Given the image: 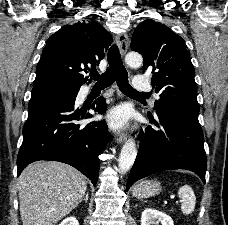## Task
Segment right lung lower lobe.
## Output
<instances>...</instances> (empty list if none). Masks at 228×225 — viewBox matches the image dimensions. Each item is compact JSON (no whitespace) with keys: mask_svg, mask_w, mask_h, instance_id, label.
<instances>
[{"mask_svg":"<svg viewBox=\"0 0 228 225\" xmlns=\"http://www.w3.org/2000/svg\"><path fill=\"white\" fill-rule=\"evenodd\" d=\"M76 96L56 95L30 101L17 158V176L34 161H60L78 169L96 186L98 156L107 144L109 133L104 122L85 126L74 123L92 117L86 111L75 109ZM91 108L103 114L105 99L100 97Z\"/></svg>","mask_w":228,"mask_h":225,"instance_id":"obj_1","label":"right lung lower lobe"}]
</instances>
